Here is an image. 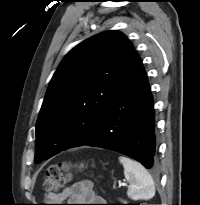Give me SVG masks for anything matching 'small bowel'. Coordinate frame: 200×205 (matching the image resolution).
<instances>
[{
    "mask_svg": "<svg viewBox=\"0 0 200 205\" xmlns=\"http://www.w3.org/2000/svg\"><path fill=\"white\" fill-rule=\"evenodd\" d=\"M67 200L72 203H91L71 205H106L102 204L104 200L95 193L91 182L88 181L77 182L59 193L49 194L46 197V201L51 203L47 205H62L59 203Z\"/></svg>",
    "mask_w": 200,
    "mask_h": 205,
    "instance_id": "obj_1",
    "label": "small bowel"
}]
</instances>
